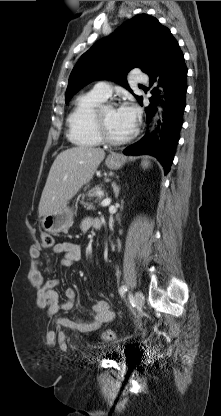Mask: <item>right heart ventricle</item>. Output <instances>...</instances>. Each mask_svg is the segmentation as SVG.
<instances>
[{
	"mask_svg": "<svg viewBox=\"0 0 221 416\" xmlns=\"http://www.w3.org/2000/svg\"><path fill=\"white\" fill-rule=\"evenodd\" d=\"M105 100L92 90L77 97L67 119L68 137L72 143L86 147L102 144L95 126V113Z\"/></svg>",
	"mask_w": 221,
	"mask_h": 416,
	"instance_id": "1",
	"label": "right heart ventricle"
}]
</instances>
